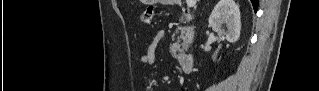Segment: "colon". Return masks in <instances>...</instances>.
<instances>
[{
  "mask_svg": "<svg viewBox=\"0 0 319 91\" xmlns=\"http://www.w3.org/2000/svg\"><path fill=\"white\" fill-rule=\"evenodd\" d=\"M154 12L155 8L153 6H148L144 9L140 15L141 22L146 25H152Z\"/></svg>",
  "mask_w": 319,
  "mask_h": 91,
  "instance_id": "obj_1",
  "label": "colon"
}]
</instances>
